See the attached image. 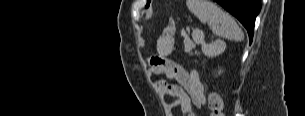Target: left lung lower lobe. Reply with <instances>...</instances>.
<instances>
[{"instance_id": "left-lung-lower-lobe-1", "label": "left lung lower lobe", "mask_w": 305, "mask_h": 116, "mask_svg": "<svg viewBox=\"0 0 305 116\" xmlns=\"http://www.w3.org/2000/svg\"><path fill=\"white\" fill-rule=\"evenodd\" d=\"M233 16H235L246 28L250 43L253 39L255 18L260 12V0H215Z\"/></svg>"}]
</instances>
